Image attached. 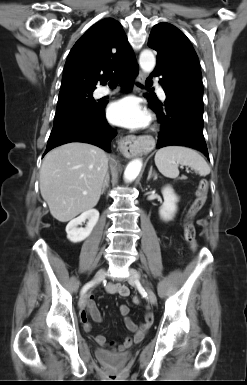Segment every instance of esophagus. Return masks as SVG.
<instances>
[{"label":"esophagus","mask_w":247,"mask_h":385,"mask_svg":"<svg viewBox=\"0 0 247 385\" xmlns=\"http://www.w3.org/2000/svg\"><path fill=\"white\" fill-rule=\"evenodd\" d=\"M137 80L141 84L144 83L145 75L142 71H139ZM136 91H139V88H136ZM119 149L124 156L133 157L137 153V150L141 149V146L139 140L135 136H128L120 139Z\"/></svg>","instance_id":"esophagus-1"}]
</instances>
